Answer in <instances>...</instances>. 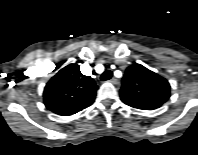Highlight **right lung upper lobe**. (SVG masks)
<instances>
[{
  "label": "right lung upper lobe",
  "instance_id": "obj_1",
  "mask_svg": "<svg viewBox=\"0 0 198 155\" xmlns=\"http://www.w3.org/2000/svg\"><path fill=\"white\" fill-rule=\"evenodd\" d=\"M97 89L93 78L83 75L79 65L69 64L47 83L44 104L58 115H72L93 103Z\"/></svg>",
  "mask_w": 198,
  "mask_h": 155
}]
</instances>
